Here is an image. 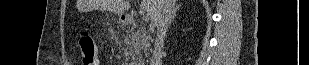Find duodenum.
Masks as SVG:
<instances>
[{"label": "duodenum", "instance_id": "1", "mask_svg": "<svg viewBox=\"0 0 309 65\" xmlns=\"http://www.w3.org/2000/svg\"><path fill=\"white\" fill-rule=\"evenodd\" d=\"M123 21L126 25H132L134 23V18L130 16H125Z\"/></svg>", "mask_w": 309, "mask_h": 65}]
</instances>
